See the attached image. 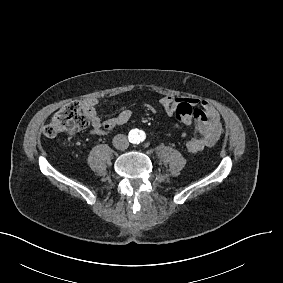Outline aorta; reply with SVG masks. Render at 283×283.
<instances>
[{
    "label": "aorta",
    "mask_w": 283,
    "mask_h": 283,
    "mask_svg": "<svg viewBox=\"0 0 283 283\" xmlns=\"http://www.w3.org/2000/svg\"><path fill=\"white\" fill-rule=\"evenodd\" d=\"M129 141L133 144H139L143 142L146 138V134L144 131L139 129H132L128 134Z\"/></svg>",
    "instance_id": "obj_1"
}]
</instances>
